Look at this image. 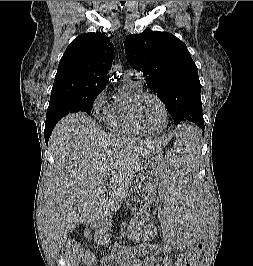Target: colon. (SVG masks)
Here are the masks:
<instances>
[{"mask_svg": "<svg viewBox=\"0 0 253 266\" xmlns=\"http://www.w3.org/2000/svg\"><path fill=\"white\" fill-rule=\"evenodd\" d=\"M202 250V245L188 249L176 261H173L174 266H196ZM82 263L86 265L93 264L92 254L83 249L76 241L68 243L59 257L58 266H79Z\"/></svg>", "mask_w": 253, "mask_h": 266, "instance_id": "obj_1", "label": "colon"}]
</instances>
